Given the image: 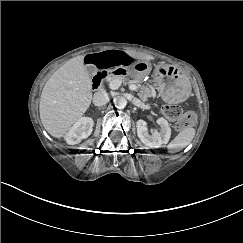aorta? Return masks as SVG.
I'll use <instances>...</instances> for the list:
<instances>
[{
  "mask_svg": "<svg viewBox=\"0 0 243 243\" xmlns=\"http://www.w3.org/2000/svg\"><path fill=\"white\" fill-rule=\"evenodd\" d=\"M113 104L116 108L118 109H123L127 105V100L124 96L122 95H117L113 99Z\"/></svg>",
  "mask_w": 243,
  "mask_h": 243,
  "instance_id": "1",
  "label": "aorta"
}]
</instances>
